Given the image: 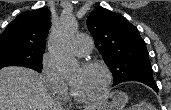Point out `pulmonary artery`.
<instances>
[{"instance_id":"1","label":"pulmonary artery","mask_w":171,"mask_h":110,"mask_svg":"<svg viewBox=\"0 0 171 110\" xmlns=\"http://www.w3.org/2000/svg\"><path fill=\"white\" fill-rule=\"evenodd\" d=\"M93 46L92 39L84 34L77 35L73 40L74 52L78 56H84L90 53Z\"/></svg>"}]
</instances>
